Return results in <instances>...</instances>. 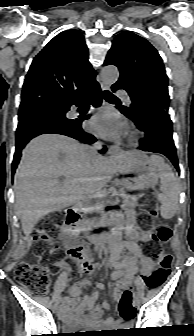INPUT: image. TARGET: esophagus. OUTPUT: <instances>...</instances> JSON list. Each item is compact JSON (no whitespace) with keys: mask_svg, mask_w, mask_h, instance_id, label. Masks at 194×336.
<instances>
[{"mask_svg":"<svg viewBox=\"0 0 194 336\" xmlns=\"http://www.w3.org/2000/svg\"><path fill=\"white\" fill-rule=\"evenodd\" d=\"M108 89H109L108 85H105V84L101 83V90L102 91H105V90H108ZM123 154H124L123 150L118 145H111L109 147V155L111 157H117V156H120V155H123Z\"/></svg>","mask_w":194,"mask_h":336,"instance_id":"esophagus-1","label":"esophagus"}]
</instances>
